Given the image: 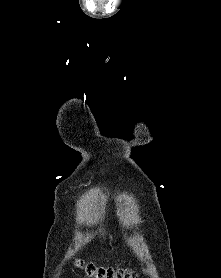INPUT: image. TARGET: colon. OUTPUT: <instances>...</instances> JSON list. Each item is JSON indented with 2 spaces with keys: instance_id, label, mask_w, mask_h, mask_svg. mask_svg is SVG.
<instances>
[{
  "instance_id": "obj_1",
  "label": "colon",
  "mask_w": 221,
  "mask_h": 278,
  "mask_svg": "<svg viewBox=\"0 0 221 278\" xmlns=\"http://www.w3.org/2000/svg\"><path fill=\"white\" fill-rule=\"evenodd\" d=\"M89 278H138L135 271L128 268L96 266L92 263H80Z\"/></svg>"
}]
</instances>
